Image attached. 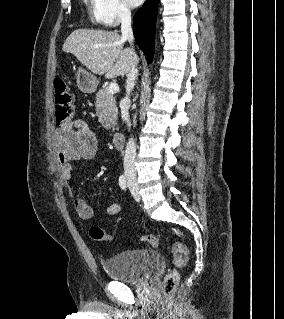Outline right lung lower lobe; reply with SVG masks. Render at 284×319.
Wrapping results in <instances>:
<instances>
[{
    "mask_svg": "<svg viewBox=\"0 0 284 319\" xmlns=\"http://www.w3.org/2000/svg\"><path fill=\"white\" fill-rule=\"evenodd\" d=\"M157 14V0H147L133 19L135 39L150 63L154 52V35Z\"/></svg>",
    "mask_w": 284,
    "mask_h": 319,
    "instance_id": "1",
    "label": "right lung lower lobe"
}]
</instances>
